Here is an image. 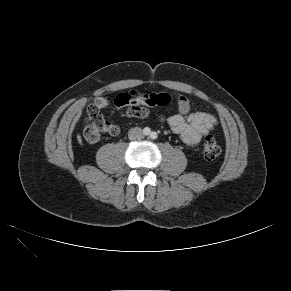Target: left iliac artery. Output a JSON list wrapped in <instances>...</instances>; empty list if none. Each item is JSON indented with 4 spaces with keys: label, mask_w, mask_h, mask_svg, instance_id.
<instances>
[{
    "label": "left iliac artery",
    "mask_w": 291,
    "mask_h": 291,
    "mask_svg": "<svg viewBox=\"0 0 291 291\" xmlns=\"http://www.w3.org/2000/svg\"><path fill=\"white\" fill-rule=\"evenodd\" d=\"M157 137H158V134L156 132H151L150 133V138L151 139H157Z\"/></svg>",
    "instance_id": "left-iliac-artery-1"
}]
</instances>
